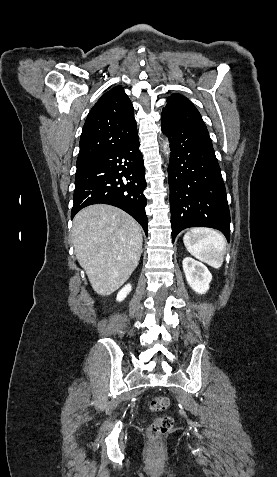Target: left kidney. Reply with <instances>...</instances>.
<instances>
[{
    "label": "left kidney",
    "mask_w": 277,
    "mask_h": 477,
    "mask_svg": "<svg viewBox=\"0 0 277 477\" xmlns=\"http://www.w3.org/2000/svg\"><path fill=\"white\" fill-rule=\"evenodd\" d=\"M182 264L189 286L198 294L206 293L212 280L208 268L191 257L184 258Z\"/></svg>",
    "instance_id": "obj_1"
}]
</instances>
